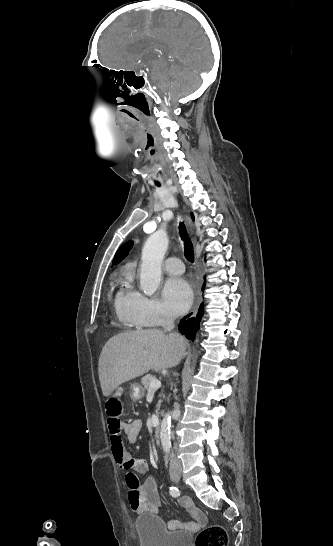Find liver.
<instances>
[{"label":"liver","mask_w":333,"mask_h":546,"mask_svg":"<svg viewBox=\"0 0 333 546\" xmlns=\"http://www.w3.org/2000/svg\"><path fill=\"white\" fill-rule=\"evenodd\" d=\"M185 351L183 339L166 335L158 329L123 333L104 345L99 357V380L102 393L108 397L122 383L150 370L155 372L175 367Z\"/></svg>","instance_id":"1"}]
</instances>
